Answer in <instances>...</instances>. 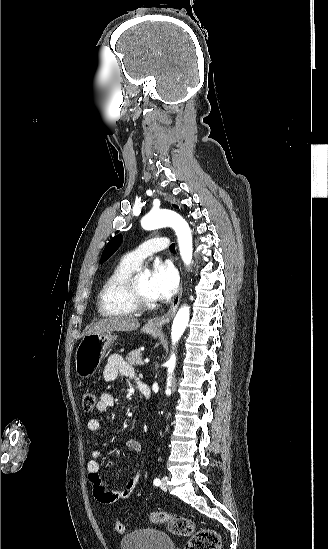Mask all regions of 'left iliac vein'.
Here are the masks:
<instances>
[{"label":"left iliac vein","instance_id":"4c4485c4","mask_svg":"<svg viewBox=\"0 0 328 549\" xmlns=\"http://www.w3.org/2000/svg\"><path fill=\"white\" fill-rule=\"evenodd\" d=\"M161 489L162 490H166L167 489V477L164 476L161 480V485H160Z\"/></svg>","mask_w":328,"mask_h":549}]
</instances>
